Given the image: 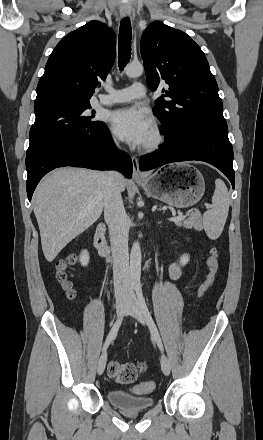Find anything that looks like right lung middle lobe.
<instances>
[{"label":"right lung middle lobe","instance_id":"right-lung-middle-lobe-1","mask_svg":"<svg viewBox=\"0 0 263 440\" xmlns=\"http://www.w3.org/2000/svg\"><path fill=\"white\" fill-rule=\"evenodd\" d=\"M90 107L89 103H57L34 108L36 119L30 130L27 155L57 139L94 133L106 126L104 122L92 120L94 112H88Z\"/></svg>","mask_w":263,"mask_h":440}]
</instances>
